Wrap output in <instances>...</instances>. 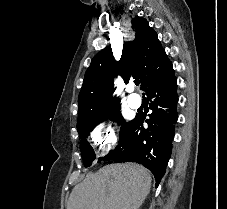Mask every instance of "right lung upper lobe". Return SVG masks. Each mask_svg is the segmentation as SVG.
I'll list each match as a JSON object with an SVG mask.
<instances>
[{
	"label": "right lung upper lobe",
	"instance_id": "1",
	"mask_svg": "<svg viewBox=\"0 0 227 209\" xmlns=\"http://www.w3.org/2000/svg\"><path fill=\"white\" fill-rule=\"evenodd\" d=\"M135 39L123 44L119 62L114 60L110 46L98 52L91 61L78 97V118L100 114L105 102L113 94L114 76L120 74L125 83L131 77L140 78L146 90L150 80L169 59L148 22L140 17L132 19Z\"/></svg>",
	"mask_w": 227,
	"mask_h": 209
}]
</instances>
